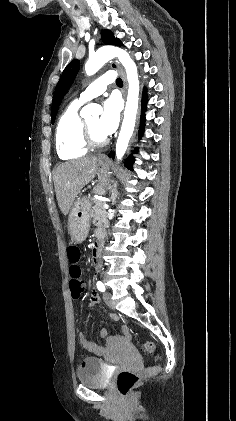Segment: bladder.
<instances>
[{
    "label": "bladder",
    "mask_w": 236,
    "mask_h": 421,
    "mask_svg": "<svg viewBox=\"0 0 236 421\" xmlns=\"http://www.w3.org/2000/svg\"><path fill=\"white\" fill-rule=\"evenodd\" d=\"M103 360L98 358H85L77 367V382L95 388L96 390L108 387L106 375L102 371Z\"/></svg>",
    "instance_id": "31cf9c89"
}]
</instances>
